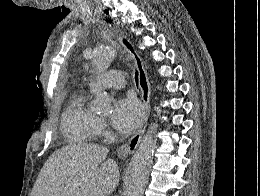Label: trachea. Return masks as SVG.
<instances>
[{"label":"trachea","instance_id":"1","mask_svg":"<svg viewBox=\"0 0 260 196\" xmlns=\"http://www.w3.org/2000/svg\"><path fill=\"white\" fill-rule=\"evenodd\" d=\"M135 81H136V86L138 88V84H139L138 72L135 73Z\"/></svg>","mask_w":260,"mask_h":196}]
</instances>
